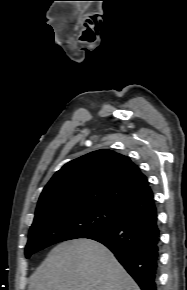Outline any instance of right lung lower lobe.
Here are the masks:
<instances>
[{
  "mask_svg": "<svg viewBox=\"0 0 187 290\" xmlns=\"http://www.w3.org/2000/svg\"><path fill=\"white\" fill-rule=\"evenodd\" d=\"M86 238L108 247L141 290H157L160 230L156 211L132 216Z\"/></svg>",
  "mask_w": 187,
  "mask_h": 290,
  "instance_id": "obj_1",
  "label": "right lung lower lobe"
}]
</instances>
